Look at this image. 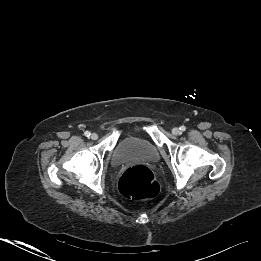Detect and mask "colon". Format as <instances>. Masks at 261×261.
Here are the masks:
<instances>
[{
    "label": "colon",
    "instance_id": "obj_1",
    "mask_svg": "<svg viewBox=\"0 0 261 261\" xmlns=\"http://www.w3.org/2000/svg\"><path fill=\"white\" fill-rule=\"evenodd\" d=\"M118 186L123 196L135 200L153 198L160 191L152 171L142 165L128 168L120 177Z\"/></svg>",
    "mask_w": 261,
    "mask_h": 261
}]
</instances>
